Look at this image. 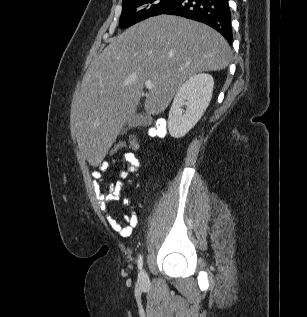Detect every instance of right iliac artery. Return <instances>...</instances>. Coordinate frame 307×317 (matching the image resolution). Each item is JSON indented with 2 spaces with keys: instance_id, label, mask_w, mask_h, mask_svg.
I'll return each instance as SVG.
<instances>
[{
  "instance_id": "obj_1",
  "label": "right iliac artery",
  "mask_w": 307,
  "mask_h": 317,
  "mask_svg": "<svg viewBox=\"0 0 307 317\" xmlns=\"http://www.w3.org/2000/svg\"><path fill=\"white\" fill-rule=\"evenodd\" d=\"M138 268L141 270L143 267V258L141 255L138 257V262H137Z\"/></svg>"
}]
</instances>
